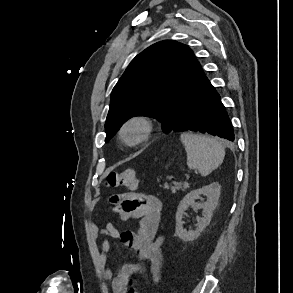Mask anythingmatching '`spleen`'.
I'll return each mask as SVG.
<instances>
[{
    "label": "spleen",
    "mask_w": 293,
    "mask_h": 293,
    "mask_svg": "<svg viewBox=\"0 0 293 293\" xmlns=\"http://www.w3.org/2000/svg\"><path fill=\"white\" fill-rule=\"evenodd\" d=\"M180 139L187 153L189 169H198L202 176H207L222 164L225 157V146L216 138L182 133Z\"/></svg>",
    "instance_id": "3e777b00"
}]
</instances>
